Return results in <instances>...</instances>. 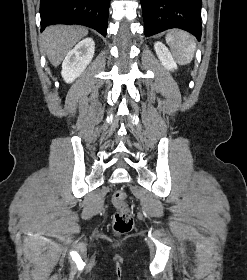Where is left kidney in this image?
Here are the masks:
<instances>
[{
	"label": "left kidney",
	"instance_id": "5707ae66",
	"mask_svg": "<svg viewBox=\"0 0 247 280\" xmlns=\"http://www.w3.org/2000/svg\"><path fill=\"white\" fill-rule=\"evenodd\" d=\"M155 52L161 62V65L167 70L177 69L176 61L174 60L169 49L161 42L157 41L154 44Z\"/></svg>",
	"mask_w": 247,
	"mask_h": 280
}]
</instances>
